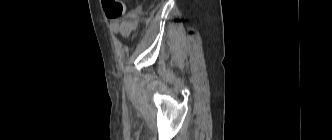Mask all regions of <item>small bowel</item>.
I'll return each mask as SVG.
<instances>
[{
  "mask_svg": "<svg viewBox=\"0 0 332 140\" xmlns=\"http://www.w3.org/2000/svg\"><path fill=\"white\" fill-rule=\"evenodd\" d=\"M138 11H130L124 19L115 20L111 24L112 33L116 36L121 35L124 38H129L137 29Z\"/></svg>",
  "mask_w": 332,
  "mask_h": 140,
  "instance_id": "small-bowel-1",
  "label": "small bowel"
}]
</instances>
